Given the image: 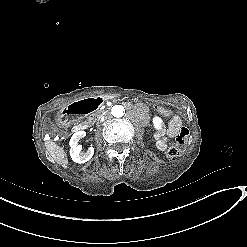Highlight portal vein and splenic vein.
Instances as JSON below:
<instances>
[{
	"label": "portal vein and splenic vein",
	"instance_id": "portal-vein-and-splenic-vein-1",
	"mask_svg": "<svg viewBox=\"0 0 247 247\" xmlns=\"http://www.w3.org/2000/svg\"><path fill=\"white\" fill-rule=\"evenodd\" d=\"M105 109H106V106L100 107V110H105Z\"/></svg>",
	"mask_w": 247,
	"mask_h": 247
}]
</instances>
